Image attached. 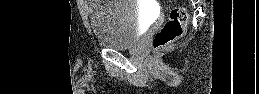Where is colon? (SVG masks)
<instances>
[{
  "label": "colon",
  "instance_id": "5ec220e1",
  "mask_svg": "<svg viewBox=\"0 0 259 94\" xmlns=\"http://www.w3.org/2000/svg\"><path fill=\"white\" fill-rule=\"evenodd\" d=\"M187 20L188 15L184 8H173L169 13L167 21L154 36V50L158 51L180 38L184 34Z\"/></svg>",
  "mask_w": 259,
  "mask_h": 94
}]
</instances>
